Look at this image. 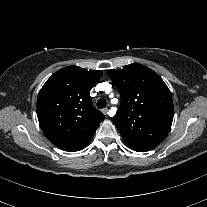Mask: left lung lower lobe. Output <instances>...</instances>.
Wrapping results in <instances>:
<instances>
[{"label": "left lung lower lobe", "instance_id": "1", "mask_svg": "<svg viewBox=\"0 0 207 207\" xmlns=\"http://www.w3.org/2000/svg\"><path fill=\"white\" fill-rule=\"evenodd\" d=\"M126 143V142H125ZM127 146L135 151H138V152H144V151H148V150H151V148H147V147H141V146H136V145H133L131 143H126Z\"/></svg>", "mask_w": 207, "mask_h": 207}]
</instances>
